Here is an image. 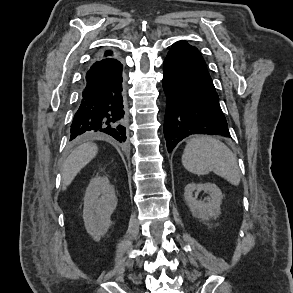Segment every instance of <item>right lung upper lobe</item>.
I'll return each instance as SVG.
<instances>
[{
  "label": "right lung upper lobe",
  "instance_id": "right-lung-upper-lobe-1",
  "mask_svg": "<svg viewBox=\"0 0 293 293\" xmlns=\"http://www.w3.org/2000/svg\"><path fill=\"white\" fill-rule=\"evenodd\" d=\"M97 59L99 60L115 59V55L113 54L111 50H107L103 54L99 55Z\"/></svg>",
  "mask_w": 293,
  "mask_h": 293
}]
</instances>
